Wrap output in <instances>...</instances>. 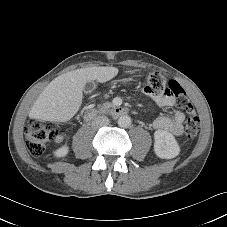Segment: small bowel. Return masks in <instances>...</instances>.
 <instances>
[{"label":"small bowel","mask_w":227,"mask_h":227,"mask_svg":"<svg viewBox=\"0 0 227 227\" xmlns=\"http://www.w3.org/2000/svg\"><path fill=\"white\" fill-rule=\"evenodd\" d=\"M141 94L146 96L148 99H153L154 102L160 107H174L175 99L172 96L170 89H163L161 96H157V90L152 88L150 85H143L141 87ZM185 115L181 110H174L171 117L159 116L153 121V128L157 130H165L172 133L175 136H180L183 133V122ZM62 137H58L60 141Z\"/></svg>","instance_id":"obj_1"}]
</instances>
